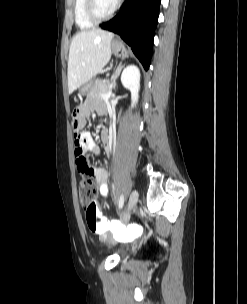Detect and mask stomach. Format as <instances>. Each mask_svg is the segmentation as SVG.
I'll return each instance as SVG.
<instances>
[{
	"label": "stomach",
	"mask_w": 247,
	"mask_h": 304,
	"mask_svg": "<svg viewBox=\"0 0 247 304\" xmlns=\"http://www.w3.org/2000/svg\"><path fill=\"white\" fill-rule=\"evenodd\" d=\"M112 52L116 57H126L128 56V51L125 46L117 41L112 43ZM84 89V88H83ZM81 89V93H85V91Z\"/></svg>",
	"instance_id": "stomach-1"
}]
</instances>
